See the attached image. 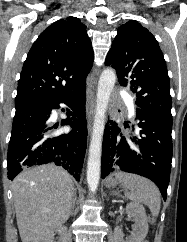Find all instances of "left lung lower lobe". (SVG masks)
<instances>
[{
	"label": "left lung lower lobe",
	"instance_id": "obj_1",
	"mask_svg": "<svg viewBox=\"0 0 187 242\" xmlns=\"http://www.w3.org/2000/svg\"><path fill=\"white\" fill-rule=\"evenodd\" d=\"M136 133L132 126L129 137L119 134L113 121L105 127L102 146L101 175L122 170L152 180L166 200L172 162V117L137 107Z\"/></svg>",
	"mask_w": 187,
	"mask_h": 242
}]
</instances>
